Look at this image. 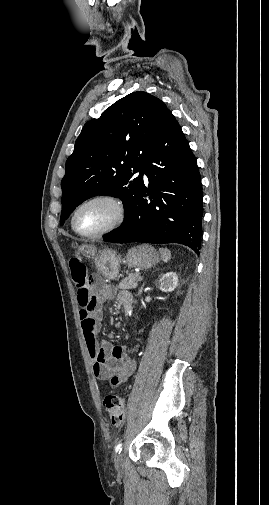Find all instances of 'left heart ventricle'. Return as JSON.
Listing matches in <instances>:
<instances>
[{
  "instance_id": "obj_1",
  "label": "left heart ventricle",
  "mask_w": 269,
  "mask_h": 505,
  "mask_svg": "<svg viewBox=\"0 0 269 505\" xmlns=\"http://www.w3.org/2000/svg\"><path fill=\"white\" fill-rule=\"evenodd\" d=\"M116 216L115 207L106 201H96L82 207L76 216V227L84 233H94L108 226Z\"/></svg>"
}]
</instances>
